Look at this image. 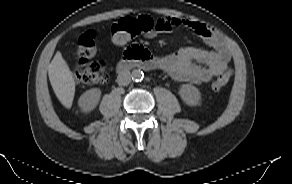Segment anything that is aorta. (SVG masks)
<instances>
[{"label": "aorta", "mask_w": 292, "mask_h": 184, "mask_svg": "<svg viewBox=\"0 0 292 184\" xmlns=\"http://www.w3.org/2000/svg\"><path fill=\"white\" fill-rule=\"evenodd\" d=\"M131 78L136 82L141 81L144 78V73L139 69H135L132 71Z\"/></svg>", "instance_id": "1"}]
</instances>
